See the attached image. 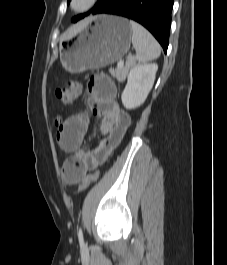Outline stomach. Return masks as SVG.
<instances>
[{
  "label": "stomach",
  "instance_id": "1",
  "mask_svg": "<svg viewBox=\"0 0 227 265\" xmlns=\"http://www.w3.org/2000/svg\"><path fill=\"white\" fill-rule=\"evenodd\" d=\"M131 40L132 29L125 18L99 15L76 39L60 43V60L70 73L102 68L120 60Z\"/></svg>",
  "mask_w": 227,
  "mask_h": 265
}]
</instances>
